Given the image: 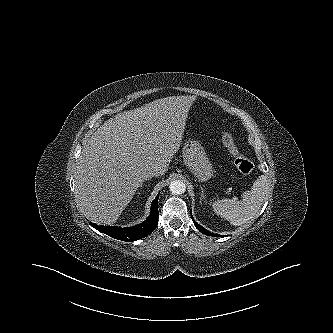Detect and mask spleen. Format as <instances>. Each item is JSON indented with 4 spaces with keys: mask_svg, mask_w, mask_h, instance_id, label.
<instances>
[{
    "mask_svg": "<svg viewBox=\"0 0 333 333\" xmlns=\"http://www.w3.org/2000/svg\"><path fill=\"white\" fill-rule=\"evenodd\" d=\"M270 183L264 175L259 176L253 183L250 191H245L242 199L216 200L212 203L214 212L225 218L233 226H241L254 218L261 208Z\"/></svg>",
    "mask_w": 333,
    "mask_h": 333,
    "instance_id": "1",
    "label": "spleen"
}]
</instances>
